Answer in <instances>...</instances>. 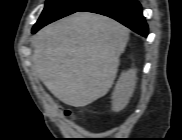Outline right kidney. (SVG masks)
I'll list each match as a JSON object with an SVG mask.
<instances>
[{
  "label": "right kidney",
  "mask_w": 182,
  "mask_h": 140,
  "mask_svg": "<svg viewBox=\"0 0 182 140\" xmlns=\"http://www.w3.org/2000/svg\"><path fill=\"white\" fill-rule=\"evenodd\" d=\"M136 85V70L130 69L118 79L112 94V109L115 112L123 110L129 103Z\"/></svg>",
  "instance_id": "obj_1"
}]
</instances>
